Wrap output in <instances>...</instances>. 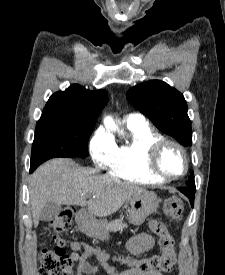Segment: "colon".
Listing matches in <instances>:
<instances>
[{
	"label": "colon",
	"instance_id": "5ec220e1",
	"mask_svg": "<svg viewBox=\"0 0 225 275\" xmlns=\"http://www.w3.org/2000/svg\"><path fill=\"white\" fill-rule=\"evenodd\" d=\"M164 215L173 221H180L183 213V202L179 199L167 200L163 204ZM75 215L73 208H67L57 217L51 220L50 229L54 234L57 245L53 249H43L39 256V275H73V264L71 258L63 249V244L58 234L68 231L72 225ZM152 231L158 236L161 254L134 260L125 258V262L134 270L148 272L170 271L176 261L174 239L165 225L158 221L151 222Z\"/></svg>",
	"mask_w": 225,
	"mask_h": 275
}]
</instances>
